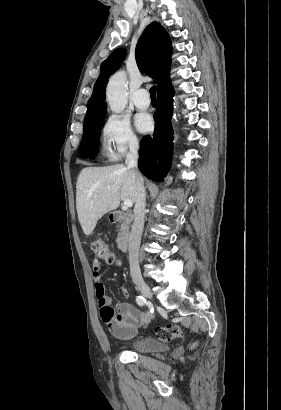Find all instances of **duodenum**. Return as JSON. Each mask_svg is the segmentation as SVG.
Returning a JSON list of instances; mask_svg holds the SVG:
<instances>
[{
  "instance_id": "1",
  "label": "duodenum",
  "mask_w": 281,
  "mask_h": 410,
  "mask_svg": "<svg viewBox=\"0 0 281 410\" xmlns=\"http://www.w3.org/2000/svg\"><path fill=\"white\" fill-rule=\"evenodd\" d=\"M111 220L113 222H118V221H131L132 220V215L128 214V213H124L122 211L119 210H115L112 212L111 214ZM129 241H130V235L129 233H124L121 238H120V242H119V247L120 250L123 253H126L128 248H129Z\"/></svg>"
}]
</instances>
